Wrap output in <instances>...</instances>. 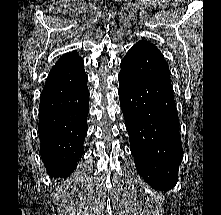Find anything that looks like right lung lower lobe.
Segmentation results:
<instances>
[{
    "mask_svg": "<svg viewBox=\"0 0 221 215\" xmlns=\"http://www.w3.org/2000/svg\"><path fill=\"white\" fill-rule=\"evenodd\" d=\"M83 59L49 73L40 96V155L51 177H67L83 154L89 112Z\"/></svg>",
    "mask_w": 221,
    "mask_h": 215,
    "instance_id": "obj_1",
    "label": "right lung lower lobe"
}]
</instances>
